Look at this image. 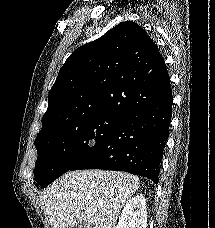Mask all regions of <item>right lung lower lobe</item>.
Listing matches in <instances>:
<instances>
[{
    "label": "right lung lower lobe",
    "instance_id": "obj_1",
    "mask_svg": "<svg viewBox=\"0 0 215 228\" xmlns=\"http://www.w3.org/2000/svg\"><path fill=\"white\" fill-rule=\"evenodd\" d=\"M170 88L169 77L165 80ZM173 96L169 92L123 117L121 122L70 170L126 171L156 185L168 140Z\"/></svg>",
    "mask_w": 215,
    "mask_h": 228
}]
</instances>
